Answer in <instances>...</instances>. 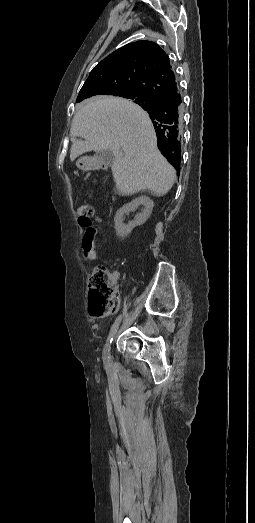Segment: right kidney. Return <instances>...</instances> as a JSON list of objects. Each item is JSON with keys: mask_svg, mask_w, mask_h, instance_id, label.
I'll return each instance as SVG.
<instances>
[{"mask_svg": "<svg viewBox=\"0 0 255 523\" xmlns=\"http://www.w3.org/2000/svg\"><path fill=\"white\" fill-rule=\"evenodd\" d=\"M138 206H145L143 212L141 214H137L134 222H129V224H123V216L124 214H127V212H134ZM154 204L148 196H139V198H135V200H132L130 204H125L123 208H120V210H117L116 216L114 218L115 222V230L118 234V236H121V238H126L128 234H130L131 230L135 228V226H141V224H144L146 220H148L152 208Z\"/></svg>", "mask_w": 255, "mask_h": 523, "instance_id": "1", "label": "right kidney"}]
</instances>
